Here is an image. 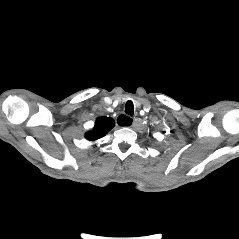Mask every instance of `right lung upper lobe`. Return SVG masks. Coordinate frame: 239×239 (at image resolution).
I'll return each instance as SVG.
<instances>
[{
	"instance_id": "cb5924a9",
	"label": "right lung upper lobe",
	"mask_w": 239,
	"mask_h": 239,
	"mask_svg": "<svg viewBox=\"0 0 239 239\" xmlns=\"http://www.w3.org/2000/svg\"><path fill=\"white\" fill-rule=\"evenodd\" d=\"M114 127V120L108 117L97 118L92 132H89L86 137L90 141H95L102 138L109 130Z\"/></svg>"
}]
</instances>
